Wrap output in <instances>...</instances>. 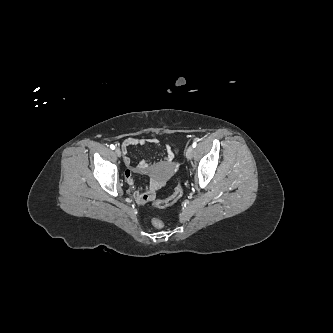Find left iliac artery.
Masks as SVG:
<instances>
[{
  "instance_id": "1",
  "label": "left iliac artery",
  "mask_w": 333,
  "mask_h": 333,
  "mask_svg": "<svg viewBox=\"0 0 333 333\" xmlns=\"http://www.w3.org/2000/svg\"><path fill=\"white\" fill-rule=\"evenodd\" d=\"M196 145H197V143L194 141L193 144H192L193 148H195Z\"/></svg>"
}]
</instances>
